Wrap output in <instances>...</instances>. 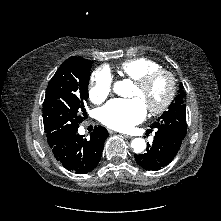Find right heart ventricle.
Returning <instances> with one entry per match:
<instances>
[{
  "label": "right heart ventricle",
  "instance_id": "obj_1",
  "mask_svg": "<svg viewBox=\"0 0 221 221\" xmlns=\"http://www.w3.org/2000/svg\"><path fill=\"white\" fill-rule=\"evenodd\" d=\"M159 68L160 65L156 61L145 57H139L124 61L120 65L119 70L125 77L136 81Z\"/></svg>",
  "mask_w": 221,
  "mask_h": 221
}]
</instances>
